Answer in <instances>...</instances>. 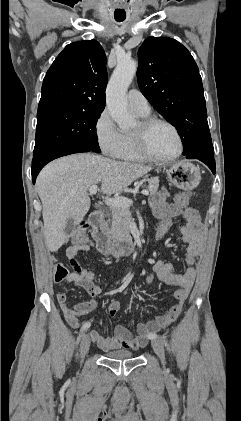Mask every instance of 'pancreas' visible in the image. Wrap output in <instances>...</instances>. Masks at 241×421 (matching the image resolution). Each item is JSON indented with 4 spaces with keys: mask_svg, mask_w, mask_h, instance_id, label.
Segmentation results:
<instances>
[{
    "mask_svg": "<svg viewBox=\"0 0 241 421\" xmlns=\"http://www.w3.org/2000/svg\"><path fill=\"white\" fill-rule=\"evenodd\" d=\"M147 190L151 195L158 191L159 179L157 177L147 179ZM132 220L131 212L128 207L112 208L111 214L105 222L106 231L114 239L123 238L129 235L130 222Z\"/></svg>",
    "mask_w": 241,
    "mask_h": 421,
    "instance_id": "cf45deb5",
    "label": "pancreas"
}]
</instances>
